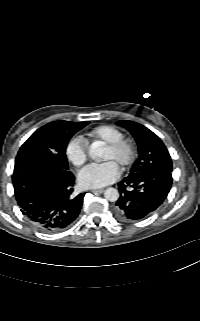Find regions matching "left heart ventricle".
<instances>
[{
	"instance_id": "obj_1",
	"label": "left heart ventricle",
	"mask_w": 200,
	"mask_h": 321,
	"mask_svg": "<svg viewBox=\"0 0 200 321\" xmlns=\"http://www.w3.org/2000/svg\"><path fill=\"white\" fill-rule=\"evenodd\" d=\"M126 156V150L122 149L121 151L117 153L111 152L109 149H105L104 155H103V160H111L113 161L116 165H120L121 161L125 158Z\"/></svg>"
}]
</instances>
